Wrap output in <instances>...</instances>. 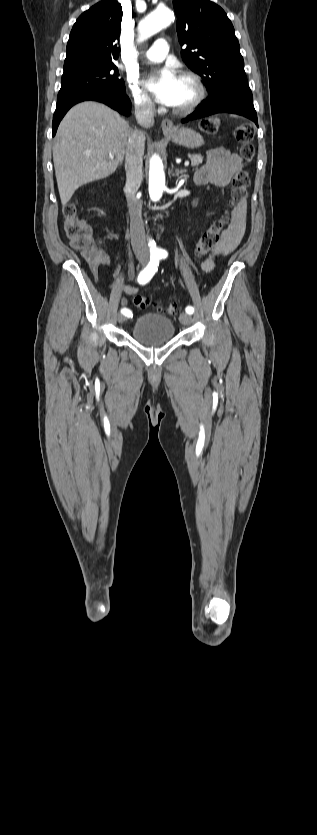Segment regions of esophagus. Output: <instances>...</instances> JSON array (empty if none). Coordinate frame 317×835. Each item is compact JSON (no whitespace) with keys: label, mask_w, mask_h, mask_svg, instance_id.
Instances as JSON below:
<instances>
[{"label":"esophagus","mask_w":317,"mask_h":835,"mask_svg":"<svg viewBox=\"0 0 317 835\" xmlns=\"http://www.w3.org/2000/svg\"><path fill=\"white\" fill-rule=\"evenodd\" d=\"M162 130L164 133H171L176 130L173 122L170 119H163L162 120Z\"/></svg>","instance_id":"34e87169"}]
</instances>
